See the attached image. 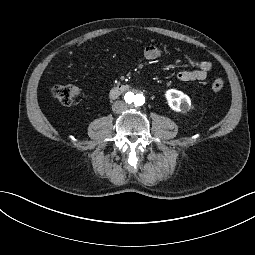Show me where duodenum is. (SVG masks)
<instances>
[{"mask_svg": "<svg viewBox=\"0 0 255 255\" xmlns=\"http://www.w3.org/2000/svg\"><path fill=\"white\" fill-rule=\"evenodd\" d=\"M129 89V85L126 84H117L115 85L111 91H110V96L111 97H117L120 94L124 93L125 91H127Z\"/></svg>", "mask_w": 255, "mask_h": 255, "instance_id": "duodenum-1", "label": "duodenum"}]
</instances>
